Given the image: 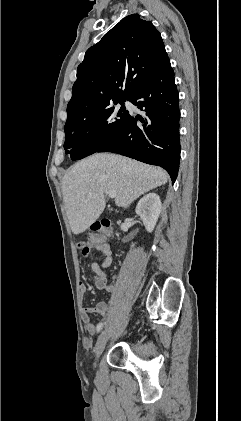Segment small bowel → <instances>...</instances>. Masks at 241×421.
Masks as SVG:
<instances>
[{
    "instance_id": "obj_1",
    "label": "small bowel",
    "mask_w": 241,
    "mask_h": 421,
    "mask_svg": "<svg viewBox=\"0 0 241 421\" xmlns=\"http://www.w3.org/2000/svg\"><path fill=\"white\" fill-rule=\"evenodd\" d=\"M96 249L99 250L104 255V260L101 265L96 262L91 264V269L94 272V284L100 289L104 290L110 294L114 293L115 285L107 281L106 269L109 268L112 264V250L107 243H102L96 246ZM80 298H83L87 291V286L84 282H80L78 286ZM109 312V305L107 302L100 301L96 304L95 307H84L82 309V320L85 325V330L87 334L91 337L96 335L97 326L91 322L90 315L92 313H97L101 316H106Z\"/></svg>"
}]
</instances>
